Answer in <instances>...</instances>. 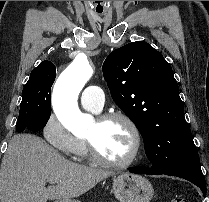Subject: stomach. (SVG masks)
<instances>
[{
	"label": "stomach",
	"mask_w": 209,
	"mask_h": 202,
	"mask_svg": "<svg viewBox=\"0 0 209 202\" xmlns=\"http://www.w3.org/2000/svg\"><path fill=\"white\" fill-rule=\"evenodd\" d=\"M113 193L120 202H150L154 189L144 177L124 173L113 179ZM57 202H79L73 199H62Z\"/></svg>",
	"instance_id": "1"
}]
</instances>
